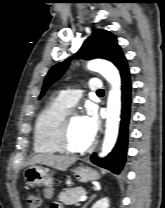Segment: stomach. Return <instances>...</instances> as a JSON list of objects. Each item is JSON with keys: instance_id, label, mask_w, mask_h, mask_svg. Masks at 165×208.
Returning a JSON list of instances; mask_svg holds the SVG:
<instances>
[{"instance_id": "0dacf381", "label": "stomach", "mask_w": 165, "mask_h": 208, "mask_svg": "<svg viewBox=\"0 0 165 208\" xmlns=\"http://www.w3.org/2000/svg\"><path fill=\"white\" fill-rule=\"evenodd\" d=\"M77 180L86 183L89 181H96L100 175L97 171L89 168L80 166L73 170ZM24 178L30 186H44L51 187L53 185V178L48 168H44L39 165H31L24 171Z\"/></svg>"}]
</instances>
